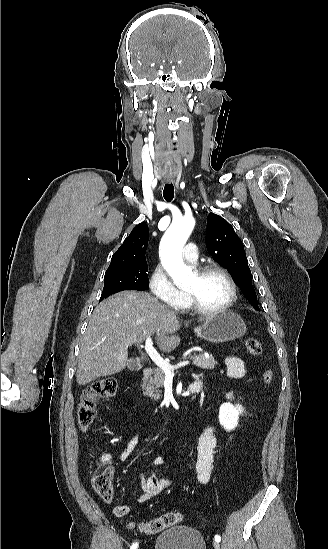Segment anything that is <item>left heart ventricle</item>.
Returning a JSON list of instances; mask_svg holds the SVG:
<instances>
[{"label":"left heart ventricle","mask_w":328,"mask_h":549,"mask_svg":"<svg viewBox=\"0 0 328 549\" xmlns=\"http://www.w3.org/2000/svg\"><path fill=\"white\" fill-rule=\"evenodd\" d=\"M183 289L191 292L206 309H214L223 305L229 298L230 286L227 279L218 271H210L203 276L193 272Z\"/></svg>","instance_id":"obj_1"}]
</instances>
